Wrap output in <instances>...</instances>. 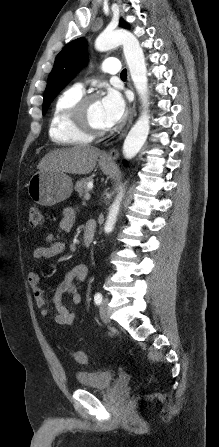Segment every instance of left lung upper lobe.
I'll use <instances>...</instances> for the list:
<instances>
[{"instance_id": "left-lung-upper-lobe-1", "label": "left lung upper lobe", "mask_w": 219, "mask_h": 447, "mask_svg": "<svg viewBox=\"0 0 219 447\" xmlns=\"http://www.w3.org/2000/svg\"><path fill=\"white\" fill-rule=\"evenodd\" d=\"M122 27H127L121 22ZM87 44L84 38H78L68 43L57 55L52 71L49 74L44 93L43 114L48 110L57 94L66 86L79 71L87 58Z\"/></svg>"}]
</instances>
